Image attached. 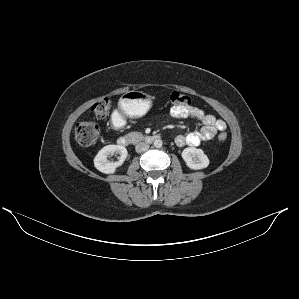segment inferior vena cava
I'll list each match as a JSON object with an SVG mask.
<instances>
[{"mask_svg": "<svg viewBox=\"0 0 299 299\" xmlns=\"http://www.w3.org/2000/svg\"><path fill=\"white\" fill-rule=\"evenodd\" d=\"M149 149V144L145 142H140L135 146L137 153H143Z\"/></svg>", "mask_w": 299, "mask_h": 299, "instance_id": "inferior-vena-cava-1", "label": "inferior vena cava"}]
</instances>
